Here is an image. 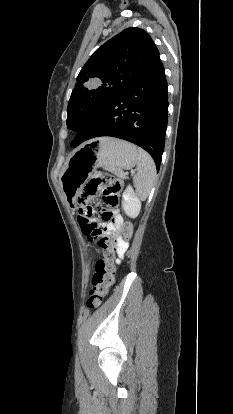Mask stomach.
Masks as SVG:
<instances>
[{"label": "stomach", "instance_id": "1", "mask_svg": "<svg viewBox=\"0 0 233 414\" xmlns=\"http://www.w3.org/2000/svg\"><path fill=\"white\" fill-rule=\"evenodd\" d=\"M139 160L135 145L115 138H95L77 149L69 158L61 176L64 195L74 206L83 183L98 167L111 172L133 168Z\"/></svg>", "mask_w": 233, "mask_h": 414}]
</instances>
